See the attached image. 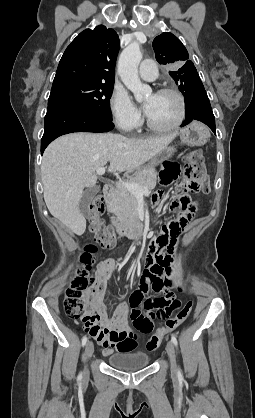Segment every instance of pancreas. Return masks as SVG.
Here are the masks:
<instances>
[{"mask_svg": "<svg viewBox=\"0 0 255 418\" xmlns=\"http://www.w3.org/2000/svg\"><path fill=\"white\" fill-rule=\"evenodd\" d=\"M156 181L157 172L154 168L138 170L128 179V182L145 187L149 192L155 188ZM137 206L136 196L122 186L117 187L108 202L109 210L121 220L136 219L138 216Z\"/></svg>", "mask_w": 255, "mask_h": 418, "instance_id": "pancreas-1", "label": "pancreas"}]
</instances>
